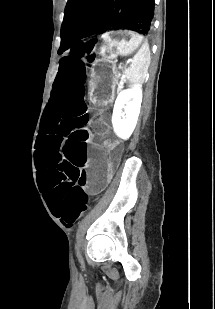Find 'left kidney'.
<instances>
[{
    "label": "left kidney",
    "instance_id": "obj_1",
    "mask_svg": "<svg viewBox=\"0 0 215 309\" xmlns=\"http://www.w3.org/2000/svg\"><path fill=\"white\" fill-rule=\"evenodd\" d=\"M142 102L140 86L126 88L119 92L112 114V124L117 136L127 140L131 136L137 122ZM126 104V106H125ZM124 108V112L122 110Z\"/></svg>",
    "mask_w": 215,
    "mask_h": 309
}]
</instances>
